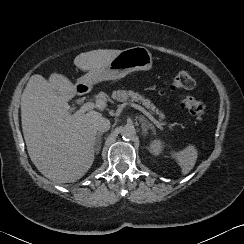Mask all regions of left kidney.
Wrapping results in <instances>:
<instances>
[{
    "instance_id": "5707ae66",
    "label": "left kidney",
    "mask_w": 244,
    "mask_h": 244,
    "mask_svg": "<svg viewBox=\"0 0 244 244\" xmlns=\"http://www.w3.org/2000/svg\"><path fill=\"white\" fill-rule=\"evenodd\" d=\"M162 148H163V142L160 139H155L150 144L149 151L153 155L157 156V155H159L161 153Z\"/></svg>"
}]
</instances>
